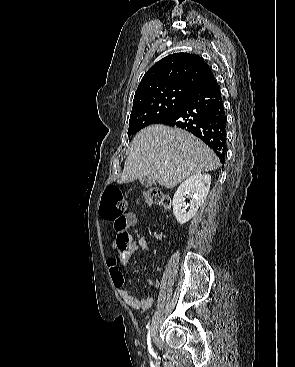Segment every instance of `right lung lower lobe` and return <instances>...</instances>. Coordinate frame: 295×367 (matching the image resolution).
Here are the masks:
<instances>
[{"mask_svg": "<svg viewBox=\"0 0 295 367\" xmlns=\"http://www.w3.org/2000/svg\"><path fill=\"white\" fill-rule=\"evenodd\" d=\"M158 123L191 132L212 148L224 163L226 116L216 80L193 92L171 114Z\"/></svg>", "mask_w": 295, "mask_h": 367, "instance_id": "98d812e1", "label": "right lung lower lobe"}]
</instances>
